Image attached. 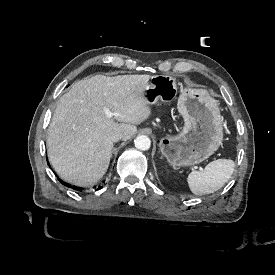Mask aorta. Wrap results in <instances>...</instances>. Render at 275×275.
Returning <instances> with one entry per match:
<instances>
[{
	"label": "aorta",
	"mask_w": 275,
	"mask_h": 275,
	"mask_svg": "<svg viewBox=\"0 0 275 275\" xmlns=\"http://www.w3.org/2000/svg\"><path fill=\"white\" fill-rule=\"evenodd\" d=\"M135 147L141 151H147L151 147V141L147 136L140 135L134 141Z\"/></svg>",
	"instance_id": "1"
}]
</instances>
